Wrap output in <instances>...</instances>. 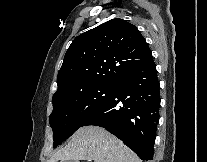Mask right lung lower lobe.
<instances>
[{"label":"right lung lower lobe","instance_id":"1","mask_svg":"<svg viewBox=\"0 0 207 162\" xmlns=\"http://www.w3.org/2000/svg\"><path fill=\"white\" fill-rule=\"evenodd\" d=\"M113 85L114 92L109 100L83 126L103 127L142 160H152L160 107L153 59L129 69Z\"/></svg>","mask_w":207,"mask_h":162}]
</instances>
